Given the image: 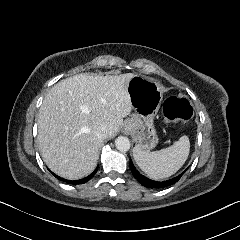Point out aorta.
<instances>
[{"label":"aorta","instance_id":"obj_1","mask_svg":"<svg viewBox=\"0 0 240 240\" xmlns=\"http://www.w3.org/2000/svg\"><path fill=\"white\" fill-rule=\"evenodd\" d=\"M115 145L117 150L121 152H126L130 149V141L127 137L119 136L115 140Z\"/></svg>","mask_w":240,"mask_h":240}]
</instances>
